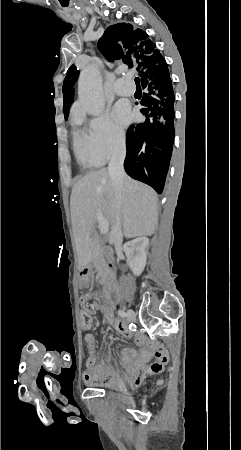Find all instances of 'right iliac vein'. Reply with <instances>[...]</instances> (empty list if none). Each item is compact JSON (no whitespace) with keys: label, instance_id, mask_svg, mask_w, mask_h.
Listing matches in <instances>:
<instances>
[{"label":"right iliac vein","instance_id":"63e3f726","mask_svg":"<svg viewBox=\"0 0 241 450\" xmlns=\"http://www.w3.org/2000/svg\"><path fill=\"white\" fill-rule=\"evenodd\" d=\"M127 320H128L129 322H132V321L135 320V313H134V311L131 310V309H129V310L127 311Z\"/></svg>","mask_w":241,"mask_h":450}]
</instances>
